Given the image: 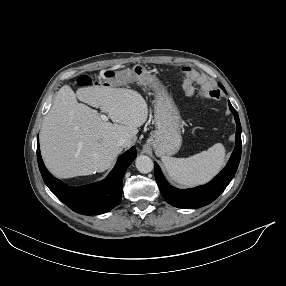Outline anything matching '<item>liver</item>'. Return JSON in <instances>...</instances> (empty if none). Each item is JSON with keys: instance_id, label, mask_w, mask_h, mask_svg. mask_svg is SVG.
Listing matches in <instances>:
<instances>
[{"instance_id": "obj_1", "label": "liver", "mask_w": 286, "mask_h": 286, "mask_svg": "<svg viewBox=\"0 0 286 286\" xmlns=\"http://www.w3.org/2000/svg\"><path fill=\"white\" fill-rule=\"evenodd\" d=\"M100 108L114 122L103 121ZM148 117V107L137 92L112 86H88L76 93L63 86L46 115L40 148L47 168L60 178L90 175L109 169L121 152L119 138L131 146Z\"/></svg>"}]
</instances>
